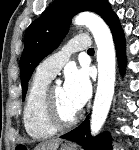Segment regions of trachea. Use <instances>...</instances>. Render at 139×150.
<instances>
[{"label":"trachea","mask_w":139,"mask_h":150,"mask_svg":"<svg viewBox=\"0 0 139 150\" xmlns=\"http://www.w3.org/2000/svg\"><path fill=\"white\" fill-rule=\"evenodd\" d=\"M94 52V49L93 48H90L89 50H88V53H93Z\"/></svg>","instance_id":"obj_1"}]
</instances>
